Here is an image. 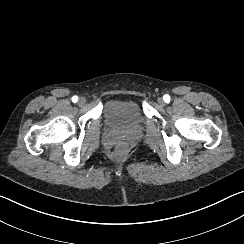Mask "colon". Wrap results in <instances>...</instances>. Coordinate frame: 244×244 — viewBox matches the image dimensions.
Here are the masks:
<instances>
[{"label":"colon","mask_w":244,"mask_h":244,"mask_svg":"<svg viewBox=\"0 0 244 244\" xmlns=\"http://www.w3.org/2000/svg\"><path fill=\"white\" fill-rule=\"evenodd\" d=\"M115 151H116L117 156L120 158H124L128 154L127 146L124 143H118L115 146Z\"/></svg>","instance_id":"5ec220e1"}]
</instances>
